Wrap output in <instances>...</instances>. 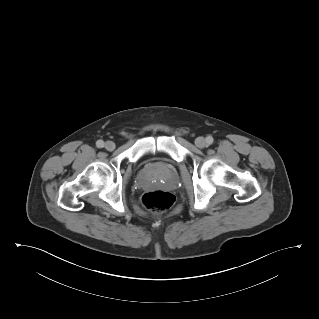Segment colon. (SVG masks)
Here are the masks:
<instances>
[{
  "mask_svg": "<svg viewBox=\"0 0 319 319\" xmlns=\"http://www.w3.org/2000/svg\"><path fill=\"white\" fill-rule=\"evenodd\" d=\"M141 200L148 210L161 213L174 204L175 198L174 195L168 191L152 190L145 192Z\"/></svg>",
  "mask_w": 319,
  "mask_h": 319,
  "instance_id": "1",
  "label": "colon"
}]
</instances>
